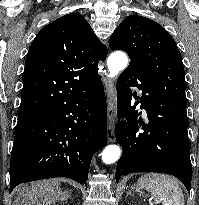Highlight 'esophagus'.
<instances>
[{
  "mask_svg": "<svg viewBox=\"0 0 199 205\" xmlns=\"http://www.w3.org/2000/svg\"><path fill=\"white\" fill-rule=\"evenodd\" d=\"M106 86L109 85L107 79H104ZM115 121H116V111H115V99L114 94L110 96L108 101V111H107V139L108 142L115 141Z\"/></svg>",
  "mask_w": 199,
  "mask_h": 205,
  "instance_id": "1",
  "label": "esophagus"
}]
</instances>
